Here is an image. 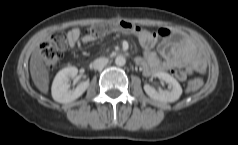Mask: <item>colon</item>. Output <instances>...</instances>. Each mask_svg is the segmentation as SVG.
<instances>
[{
	"label": "colon",
	"instance_id": "colon-1",
	"mask_svg": "<svg viewBox=\"0 0 238 145\" xmlns=\"http://www.w3.org/2000/svg\"><path fill=\"white\" fill-rule=\"evenodd\" d=\"M143 31L142 28L127 22L118 21L104 24H96L86 31L87 38H98L113 32H124L127 34L138 35ZM67 48V38L61 32L52 34L40 47V55L43 63L48 69L57 66ZM202 86V80L195 78L188 83V91H196Z\"/></svg>",
	"mask_w": 238,
	"mask_h": 145
}]
</instances>
